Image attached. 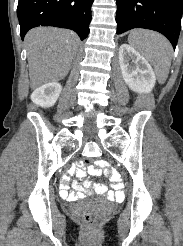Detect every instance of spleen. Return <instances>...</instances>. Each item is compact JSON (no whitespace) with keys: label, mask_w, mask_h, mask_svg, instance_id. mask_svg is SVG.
Wrapping results in <instances>:
<instances>
[{"label":"spleen","mask_w":183,"mask_h":246,"mask_svg":"<svg viewBox=\"0 0 183 246\" xmlns=\"http://www.w3.org/2000/svg\"><path fill=\"white\" fill-rule=\"evenodd\" d=\"M128 42L150 61L159 83L164 84L169 75L173 56L171 43L160 33L144 29L132 31Z\"/></svg>","instance_id":"spleen-1"}]
</instances>
